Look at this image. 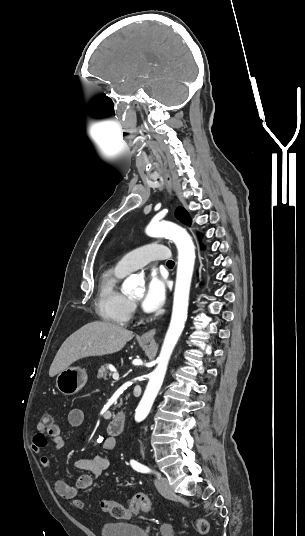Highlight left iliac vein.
<instances>
[{"label": "left iliac vein", "mask_w": 305, "mask_h": 536, "mask_svg": "<svg viewBox=\"0 0 305 536\" xmlns=\"http://www.w3.org/2000/svg\"><path fill=\"white\" fill-rule=\"evenodd\" d=\"M156 487L158 490L164 494V495H170L173 494V490L169 485L168 479L165 477H161L158 481H155Z\"/></svg>", "instance_id": "4c4485c4"}]
</instances>
